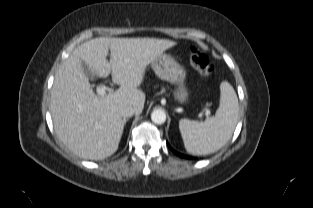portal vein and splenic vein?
<instances>
[{
	"label": "portal vein and splenic vein",
	"instance_id": "1",
	"mask_svg": "<svg viewBox=\"0 0 313 208\" xmlns=\"http://www.w3.org/2000/svg\"><path fill=\"white\" fill-rule=\"evenodd\" d=\"M107 90H108V88L106 86H99V87H97V94L99 96H104V95H106Z\"/></svg>",
	"mask_w": 313,
	"mask_h": 208
}]
</instances>
